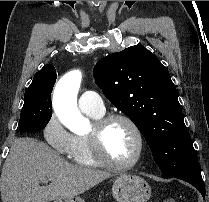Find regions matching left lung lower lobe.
Masks as SVG:
<instances>
[{
    "mask_svg": "<svg viewBox=\"0 0 209 202\" xmlns=\"http://www.w3.org/2000/svg\"><path fill=\"white\" fill-rule=\"evenodd\" d=\"M172 177L184 180L194 187L198 189V191L202 194L203 198H205V185L204 181L201 176V170L199 163L194 164L193 166L189 167L186 171L179 173L177 175H174ZM170 178V177H165Z\"/></svg>",
    "mask_w": 209,
    "mask_h": 202,
    "instance_id": "0a47b994",
    "label": "left lung lower lobe"
}]
</instances>
